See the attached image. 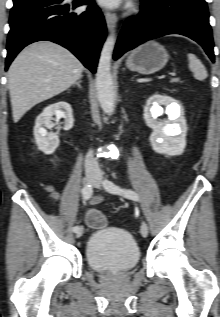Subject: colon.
Listing matches in <instances>:
<instances>
[{"mask_svg": "<svg viewBox=\"0 0 220 317\" xmlns=\"http://www.w3.org/2000/svg\"><path fill=\"white\" fill-rule=\"evenodd\" d=\"M86 223L92 229L103 228L106 223V217L99 211H91L86 216Z\"/></svg>", "mask_w": 220, "mask_h": 317, "instance_id": "1", "label": "colon"}]
</instances>
